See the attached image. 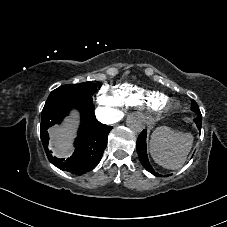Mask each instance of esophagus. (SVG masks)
Returning <instances> with one entry per match:
<instances>
[{
    "label": "esophagus",
    "mask_w": 227,
    "mask_h": 227,
    "mask_svg": "<svg viewBox=\"0 0 227 227\" xmlns=\"http://www.w3.org/2000/svg\"><path fill=\"white\" fill-rule=\"evenodd\" d=\"M142 123L144 126L149 127L154 124V119L152 117L146 116L143 118Z\"/></svg>",
    "instance_id": "esophagus-1"
}]
</instances>
